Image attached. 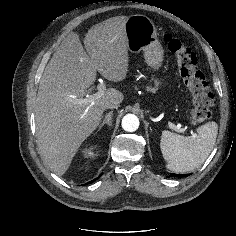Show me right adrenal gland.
I'll use <instances>...</instances> for the list:
<instances>
[{
  "label": "right adrenal gland",
  "instance_id": "1",
  "mask_svg": "<svg viewBox=\"0 0 236 236\" xmlns=\"http://www.w3.org/2000/svg\"><path fill=\"white\" fill-rule=\"evenodd\" d=\"M112 115L113 112L111 111L105 116L103 122L99 125V129H102L105 124H107L109 127L112 125Z\"/></svg>",
  "mask_w": 236,
  "mask_h": 236
}]
</instances>
